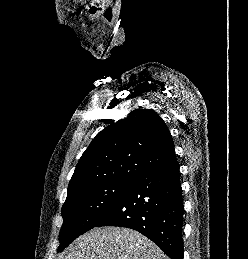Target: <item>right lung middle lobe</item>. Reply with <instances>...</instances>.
<instances>
[{
	"instance_id": "1",
	"label": "right lung middle lobe",
	"mask_w": 248,
	"mask_h": 259,
	"mask_svg": "<svg viewBox=\"0 0 248 259\" xmlns=\"http://www.w3.org/2000/svg\"><path fill=\"white\" fill-rule=\"evenodd\" d=\"M132 182L112 180L68 191L62 206L60 246L66 248L78 236L95 227L118 203Z\"/></svg>"
}]
</instances>
